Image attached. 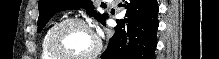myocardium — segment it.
I'll return each instance as SVG.
<instances>
[{
	"label": "myocardium",
	"instance_id": "f54148a6",
	"mask_svg": "<svg viewBox=\"0 0 219 59\" xmlns=\"http://www.w3.org/2000/svg\"><path fill=\"white\" fill-rule=\"evenodd\" d=\"M70 25H81L86 27L92 32V34L95 37V47L91 52L85 55L73 56V55L65 54L61 50L59 46V36L61 32ZM48 48L50 53L53 56H55L57 59H94L99 55L102 48V43L100 38L91 30L90 26L86 21H84L81 18H67L58 22L51 30L48 38Z\"/></svg>",
	"mask_w": 219,
	"mask_h": 59
}]
</instances>
